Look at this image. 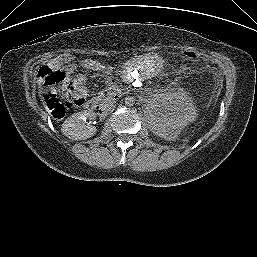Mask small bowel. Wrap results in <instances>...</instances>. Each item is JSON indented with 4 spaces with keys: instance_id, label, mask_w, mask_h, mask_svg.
Masks as SVG:
<instances>
[{
    "instance_id": "c3829d8e",
    "label": "small bowel",
    "mask_w": 257,
    "mask_h": 257,
    "mask_svg": "<svg viewBox=\"0 0 257 257\" xmlns=\"http://www.w3.org/2000/svg\"><path fill=\"white\" fill-rule=\"evenodd\" d=\"M73 71V66H69L65 71H64V74H65V78L69 81V83H72L74 82L75 80H70V75Z\"/></svg>"
}]
</instances>
